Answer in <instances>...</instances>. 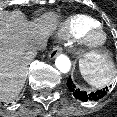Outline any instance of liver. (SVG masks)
Segmentation results:
<instances>
[{"label":"liver","mask_w":117,"mask_h":117,"mask_svg":"<svg viewBox=\"0 0 117 117\" xmlns=\"http://www.w3.org/2000/svg\"><path fill=\"white\" fill-rule=\"evenodd\" d=\"M60 25L54 12L27 21L21 11H0V102L18 97L25 84L34 48Z\"/></svg>","instance_id":"1"}]
</instances>
